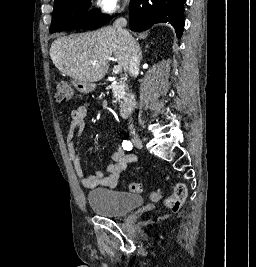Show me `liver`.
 Listing matches in <instances>:
<instances>
[{"label": "liver", "mask_w": 256, "mask_h": 267, "mask_svg": "<svg viewBox=\"0 0 256 267\" xmlns=\"http://www.w3.org/2000/svg\"><path fill=\"white\" fill-rule=\"evenodd\" d=\"M128 48L126 36L118 34L113 26H106L96 32L71 34L54 40L50 58L65 76L79 82H99L106 76L112 56L118 66L128 72Z\"/></svg>", "instance_id": "obj_1"}]
</instances>
